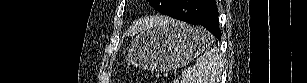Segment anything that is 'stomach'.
<instances>
[{"mask_svg": "<svg viewBox=\"0 0 307 83\" xmlns=\"http://www.w3.org/2000/svg\"><path fill=\"white\" fill-rule=\"evenodd\" d=\"M211 42L208 32L184 22L167 20L140 33L128 50V61L143 68L169 71L196 58Z\"/></svg>", "mask_w": 307, "mask_h": 83, "instance_id": "0dacf381", "label": "stomach"}]
</instances>
